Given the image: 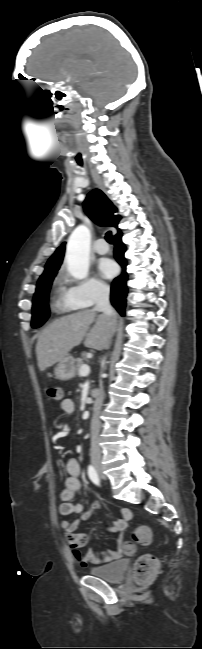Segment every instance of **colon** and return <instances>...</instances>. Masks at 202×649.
Returning a JSON list of instances; mask_svg holds the SVG:
<instances>
[{"mask_svg":"<svg viewBox=\"0 0 202 649\" xmlns=\"http://www.w3.org/2000/svg\"><path fill=\"white\" fill-rule=\"evenodd\" d=\"M46 395L51 400L60 401L63 398V391L59 386H48ZM151 529L148 525H139L133 532L132 539L124 542L122 551L125 555L135 552L137 545H147L151 541ZM159 561L152 555L140 557L134 566L133 578L139 583L150 580L158 571Z\"/></svg>","mask_w":202,"mask_h":649,"instance_id":"colon-1","label":"colon"}]
</instances>
